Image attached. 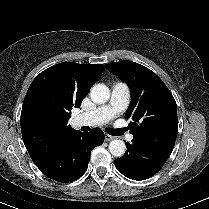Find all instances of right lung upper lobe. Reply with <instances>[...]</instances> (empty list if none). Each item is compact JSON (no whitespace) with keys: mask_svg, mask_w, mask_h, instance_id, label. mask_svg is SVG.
Listing matches in <instances>:
<instances>
[{"mask_svg":"<svg viewBox=\"0 0 209 209\" xmlns=\"http://www.w3.org/2000/svg\"><path fill=\"white\" fill-rule=\"evenodd\" d=\"M103 64L63 62L35 77L24 98L20 125L23 142L37 165L77 130L68 125L72 108L80 107Z\"/></svg>","mask_w":209,"mask_h":209,"instance_id":"cb5924a9","label":"right lung upper lobe"}]
</instances>
